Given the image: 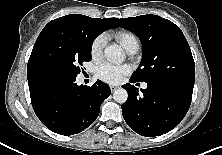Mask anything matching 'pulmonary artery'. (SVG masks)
Returning <instances> with one entry per match:
<instances>
[{
  "mask_svg": "<svg viewBox=\"0 0 222 155\" xmlns=\"http://www.w3.org/2000/svg\"><path fill=\"white\" fill-rule=\"evenodd\" d=\"M136 51H137V49H132V50L129 51V53H135ZM142 87L146 88L147 84H143Z\"/></svg>",
  "mask_w": 222,
  "mask_h": 155,
  "instance_id": "pulmonary-artery-1",
  "label": "pulmonary artery"
}]
</instances>
